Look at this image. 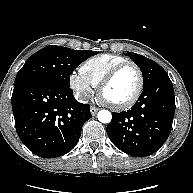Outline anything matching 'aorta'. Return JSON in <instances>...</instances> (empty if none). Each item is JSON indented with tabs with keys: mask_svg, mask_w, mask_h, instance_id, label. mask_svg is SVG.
I'll use <instances>...</instances> for the list:
<instances>
[{
	"mask_svg": "<svg viewBox=\"0 0 193 193\" xmlns=\"http://www.w3.org/2000/svg\"><path fill=\"white\" fill-rule=\"evenodd\" d=\"M97 117L101 123H109L112 119V114L108 110H100Z\"/></svg>",
	"mask_w": 193,
	"mask_h": 193,
	"instance_id": "762f6f07",
	"label": "aorta"
}]
</instances>
